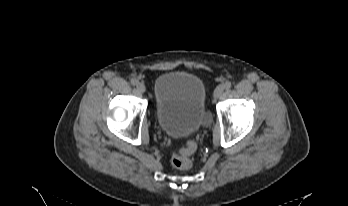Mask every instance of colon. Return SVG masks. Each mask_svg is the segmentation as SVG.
<instances>
[{
  "label": "colon",
  "instance_id": "5ec220e1",
  "mask_svg": "<svg viewBox=\"0 0 348 206\" xmlns=\"http://www.w3.org/2000/svg\"><path fill=\"white\" fill-rule=\"evenodd\" d=\"M196 144L188 142L185 147L174 153L171 157V165L179 170H186L191 167L190 155L195 151Z\"/></svg>",
  "mask_w": 348,
  "mask_h": 206
}]
</instances>
